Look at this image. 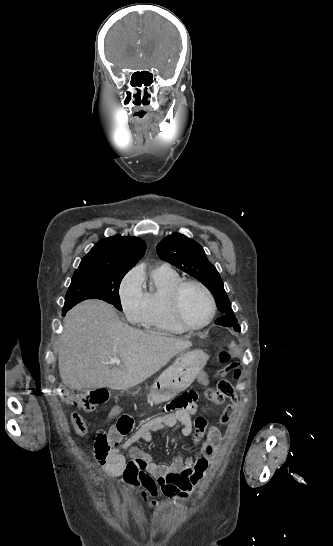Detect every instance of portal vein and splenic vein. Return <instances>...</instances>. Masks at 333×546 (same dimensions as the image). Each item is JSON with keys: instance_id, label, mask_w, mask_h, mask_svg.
Instances as JSON below:
<instances>
[{"instance_id": "obj_1", "label": "portal vein and splenic vein", "mask_w": 333, "mask_h": 546, "mask_svg": "<svg viewBox=\"0 0 333 546\" xmlns=\"http://www.w3.org/2000/svg\"><path fill=\"white\" fill-rule=\"evenodd\" d=\"M110 363H115V364L120 365V364H121V361H120V359H119L118 357H112V358L110 359Z\"/></svg>"}]
</instances>
